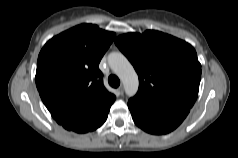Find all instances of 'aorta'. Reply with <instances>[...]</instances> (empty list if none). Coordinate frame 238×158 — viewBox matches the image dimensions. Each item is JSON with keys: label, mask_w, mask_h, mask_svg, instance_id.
<instances>
[{"label": "aorta", "mask_w": 238, "mask_h": 158, "mask_svg": "<svg viewBox=\"0 0 238 158\" xmlns=\"http://www.w3.org/2000/svg\"><path fill=\"white\" fill-rule=\"evenodd\" d=\"M108 63L112 71L123 82L128 96H134L138 91V75L132 64L121 52H112L108 56Z\"/></svg>", "instance_id": "obj_1"}]
</instances>
